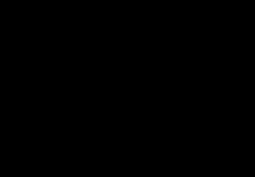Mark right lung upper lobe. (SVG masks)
<instances>
[{"label":"right lung upper lobe","mask_w":255,"mask_h":177,"mask_svg":"<svg viewBox=\"0 0 255 177\" xmlns=\"http://www.w3.org/2000/svg\"><path fill=\"white\" fill-rule=\"evenodd\" d=\"M106 43L83 35L72 39L53 57L46 78V96L57 123L66 131L83 133L82 120L90 113L84 104L99 71Z\"/></svg>","instance_id":"obj_1"}]
</instances>
